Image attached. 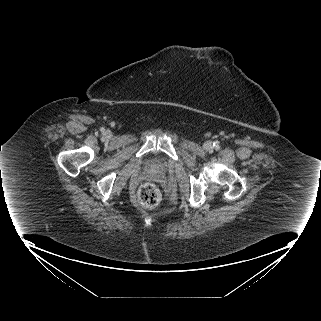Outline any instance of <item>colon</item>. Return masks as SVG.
<instances>
[{
  "label": "colon",
  "mask_w": 321,
  "mask_h": 321,
  "mask_svg": "<svg viewBox=\"0 0 321 321\" xmlns=\"http://www.w3.org/2000/svg\"><path fill=\"white\" fill-rule=\"evenodd\" d=\"M139 203L145 208H154L161 199L159 188L153 183H144L140 185L137 191Z\"/></svg>",
  "instance_id": "obj_1"
}]
</instances>
